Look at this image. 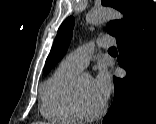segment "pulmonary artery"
<instances>
[{
	"mask_svg": "<svg viewBox=\"0 0 156 124\" xmlns=\"http://www.w3.org/2000/svg\"><path fill=\"white\" fill-rule=\"evenodd\" d=\"M96 45L108 48L114 45V40L109 36H101L97 39L96 43L93 41L87 42L68 54L64 62L80 70L84 69L88 65Z\"/></svg>",
	"mask_w": 156,
	"mask_h": 124,
	"instance_id": "obj_1",
	"label": "pulmonary artery"
}]
</instances>
